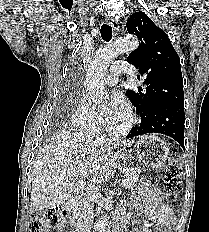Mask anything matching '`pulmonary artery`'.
<instances>
[{"label": "pulmonary artery", "mask_w": 209, "mask_h": 232, "mask_svg": "<svg viewBox=\"0 0 209 232\" xmlns=\"http://www.w3.org/2000/svg\"><path fill=\"white\" fill-rule=\"evenodd\" d=\"M130 68L124 61L115 62L109 70V73L105 76L104 81L107 85L112 86L118 82V77L121 74L130 73Z\"/></svg>", "instance_id": "1"}]
</instances>
